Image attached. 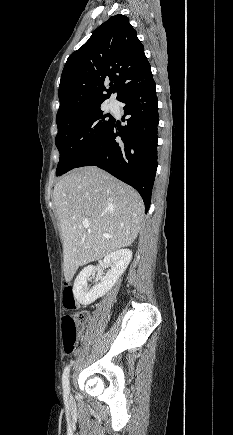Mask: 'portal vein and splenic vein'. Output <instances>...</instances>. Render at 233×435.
Instances as JSON below:
<instances>
[{
    "label": "portal vein and splenic vein",
    "instance_id": "portal-vein-and-splenic-vein-1",
    "mask_svg": "<svg viewBox=\"0 0 233 435\" xmlns=\"http://www.w3.org/2000/svg\"><path fill=\"white\" fill-rule=\"evenodd\" d=\"M83 226H84L85 228H88V227H89V222H88V221L83 222ZM103 236H104L105 238H111V236H110L109 234H106V233H104Z\"/></svg>",
    "mask_w": 233,
    "mask_h": 435
}]
</instances>
